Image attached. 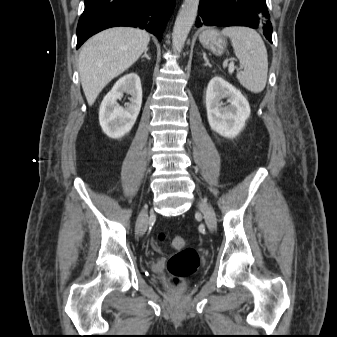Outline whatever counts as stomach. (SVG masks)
<instances>
[{
	"instance_id": "1",
	"label": "stomach",
	"mask_w": 337,
	"mask_h": 337,
	"mask_svg": "<svg viewBox=\"0 0 337 337\" xmlns=\"http://www.w3.org/2000/svg\"><path fill=\"white\" fill-rule=\"evenodd\" d=\"M199 40L204 48L216 55H221L226 47V40L215 29H206L199 35Z\"/></svg>"
}]
</instances>
